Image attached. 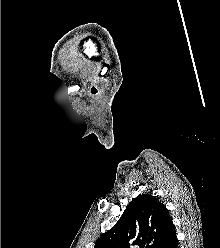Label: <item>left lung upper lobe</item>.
I'll return each mask as SVG.
<instances>
[{"label":"left lung upper lobe","mask_w":220,"mask_h":248,"mask_svg":"<svg viewBox=\"0 0 220 248\" xmlns=\"http://www.w3.org/2000/svg\"><path fill=\"white\" fill-rule=\"evenodd\" d=\"M174 227L166 207L150 194L138 195L94 248H159Z\"/></svg>","instance_id":"obj_1"}]
</instances>
